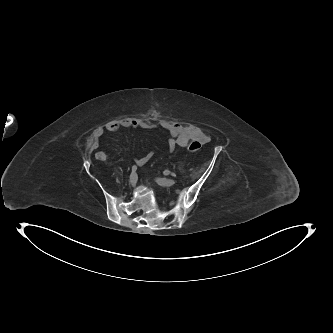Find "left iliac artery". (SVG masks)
Segmentation results:
<instances>
[{"label":"left iliac artery","mask_w":333,"mask_h":333,"mask_svg":"<svg viewBox=\"0 0 333 333\" xmlns=\"http://www.w3.org/2000/svg\"><path fill=\"white\" fill-rule=\"evenodd\" d=\"M163 174H164V175H169V174H170V171H169V170H165V171L163 172ZM172 175H174V174H172Z\"/></svg>","instance_id":"left-iliac-artery-1"}]
</instances>
